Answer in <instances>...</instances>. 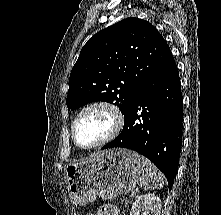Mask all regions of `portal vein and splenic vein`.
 Here are the masks:
<instances>
[{"label": "portal vein and splenic vein", "mask_w": 221, "mask_h": 215, "mask_svg": "<svg viewBox=\"0 0 221 215\" xmlns=\"http://www.w3.org/2000/svg\"><path fill=\"white\" fill-rule=\"evenodd\" d=\"M134 195H135V193H134V192H132V193H131V196H134Z\"/></svg>", "instance_id": "obj_1"}]
</instances>
